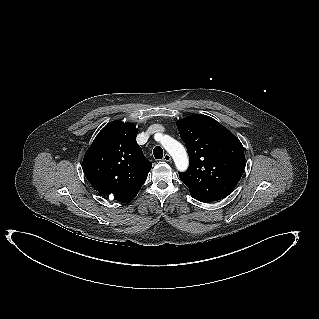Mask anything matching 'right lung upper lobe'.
Returning <instances> with one entry per match:
<instances>
[{
    "label": "right lung upper lobe",
    "instance_id": "1",
    "mask_svg": "<svg viewBox=\"0 0 319 319\" xmlns=\"http://www.w3.org/2000/svg\"><path fill=\"white\" fill-rule=\"evenodd\" d=\"M135 125L118 121L106 125L95 137L83 159L89 183L103 195L129 203L147 179L152 163L136 142Z\"/></svg>",
    "mask_w": 319,
    "mask_h": 319
}]
</instances>
